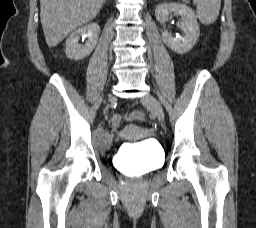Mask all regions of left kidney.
<instances>
[{
    "label": "left kidney",
    "mask_w": 256,
    "mask_h": 228,
    "mask_svg": "<svg viewBox=\"0 0 256 228\" xmlns=\"http://www.w3.org/2000/svg\"><path fill=\"white\" fill-rule=\"evenodd\" d=\"M171 13L181 16L182 22L180 28L182 29L183 35L173 38L165 30L162 33V40L174 52L178 54L187 53L194 47L200 35L195 13L189 6L181 3H162L155 9L156 19L161 24H165L168 21Z\"/></svg>",
    "instance_id": "5707ae66"
}]
</instances>
